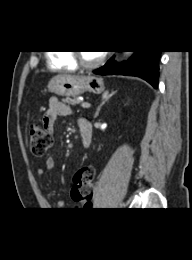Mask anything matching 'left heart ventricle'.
<instances>
[{
    "label": "left heart ventricle",
    "mask_w": 192,
    "mask_h": 260,
    "mask_svg": "<svg viewBox=\"0 0 192 260\" xmlns=\"http://www.w3.org/2000/svg\"><path fill=\"white\" fill-rule=\"evenodd\" d=\"M81 54L86 61L92 62L95 61L101 53L95 51H83Z\"/></svg>",
    "instance_id": "1"
}]
</instances>
